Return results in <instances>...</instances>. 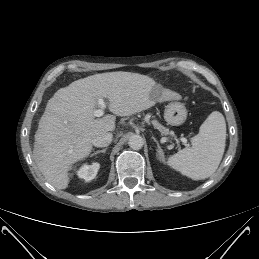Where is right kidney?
Segmentation results:
<instances>
[{"label":"right kidney","mask_w":259,"mask_h":259,"mask_svg":"<svg viewBox=\"0 0 259 259\" xmlns=\"http://www.w3.org/2000/svg\"><path fill=\"white\" fill-rule=\"evenodd\" d=\"M99 168L98 162H93L91 165L84 164L77 170V176L86 182H90L96 177Z\"/></svg>","instance_id":"1"}]
</instances>
